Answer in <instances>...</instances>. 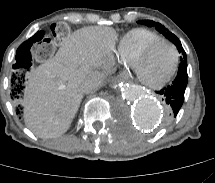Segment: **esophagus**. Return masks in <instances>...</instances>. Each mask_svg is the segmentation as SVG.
<instances>
[{
	"instance_id": "1",
	"label": "esophagus",
	"mask_w": 215,
	"mask_h": 183,
	"mask_svg": "<svg viewBox=\"0 0 215 183\" xmlns=\"http://www.w3.org/2000/svg\"><path fill=\"white\" fill-rule=\"evenodd\" d=\"M124 78H125V79H127V78H128V76L126 75V76H124Z\"/></svg>"
}]
</instances>
